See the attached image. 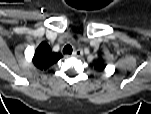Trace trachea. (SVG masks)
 I'll list each match as a JSON object with an SVG mask.
<instances>
[{
    "label": "trachea",
    "mask_w": 151,
    "mask_h": 114,
    "mask_svg": "<svg viewBox=\"0 0 151 114\" xmlns=\"http://www.w3.org/2000/svg\"><path fill=\"white\" fill-rule=\"evenodd\" d=\"M72 51H73V49H72L71 45H66L63 49L64 54H71Z\"/></svg>",
    "instance_id": "obj_1"
}]
</instances>
